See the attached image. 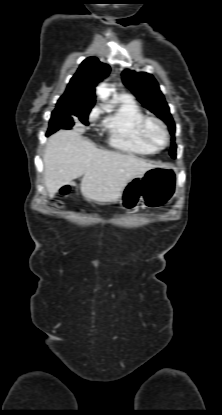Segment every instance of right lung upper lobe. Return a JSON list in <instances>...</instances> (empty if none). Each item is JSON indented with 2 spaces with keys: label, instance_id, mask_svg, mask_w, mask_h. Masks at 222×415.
Here are the masks:
<instances>
[{
  "label": "right lung upper lobe",
  "instance_id": "right-lung-upper-lobe-1",
  "mask_svg": "<svg viewBox=\"0 0 222 415\" xmlns=\"http://www.w3.org/2000/svg\"><path fill=\"white\" fill-rule=\"evenodd\" d=\"M109 72V65L101 63L96 57L85 59L58 100L56 109L67 106H93L96 97L95 87Z\"/></svg>",
  "mask_w": 222,
  "mask_h": 415
}]
</instances>
